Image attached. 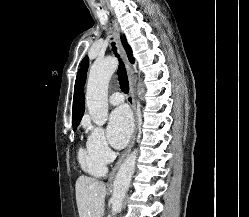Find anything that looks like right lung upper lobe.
<instances>
[{"label":"right lung upper lobe","instance_id":"obj_1","mask_svg":"<svg viewBox=\"0 0 249 217\" xmlns=\"http://www.w3.org/2000/svg\"><path fill=\"white\" fill-rule=\"evenodd\" d=\"M84 83L85 79L82 76L81 71H78L75 88H74V99H73V112H72V121L73 126H78L83 113H84Z\"/></svg>","mask_w":249,"mask_h":217}]
</instances>
